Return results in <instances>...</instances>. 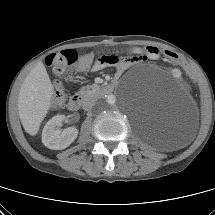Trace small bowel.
Masks as SVG:
<instances>
[{
  "label": "small bowel",
  "instance_id": "small-bowel-1",
  "mask_svg": "<svg viewBox=\"0 0 215 215\" xmlns=\"http://www.w3.org/2000/svg\"><path fill=\"white\" fill-rule=\"evenodd\" d=\"M131 51L137 55L124 58H119L115 54L103 55L94 61L92 70L99 71L106 67L114 66L118 73H122L137 63L148 60H158L162 56L161 50L154 46L134 47Z\"/></svg>",
  "mask_w": 215,
  "mask_h": 215
}]
</instances>
